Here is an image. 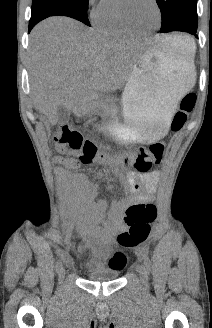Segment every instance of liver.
Returning a JSON list of instances; mask_svg holds the SVG:
<instances>
[{"label": "liver", "instance_id": "1", "mask_svg": "<svg viewBox=\"0 0 212 328\" xmlns=\"http://www.w3.org/2000/svg\"><path fill=\"white\" fill-rule=\"evenodd\" d=\"M142 54L135 43L103 37L68 17L40 22L29 44L35 109L55 125L59 106L71 109L89 91L108 93L126 85Z\"/></svg>", "mask_w": 212, "mask_h": 328}]
</instances>
